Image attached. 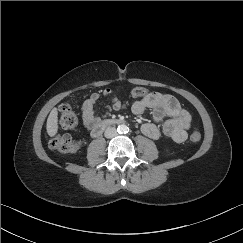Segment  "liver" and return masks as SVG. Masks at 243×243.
Wrapping results in <instances>:
<instances>
[{
  "mask_svg": "<svg viewBox=\"0 0 243 243\" xmlns=\"http://www.w3.org/2000/svg\"><path fill=\"white\" fill-rule=\"evenodd\" d=\"M58 111L57 108H53L48 116L46 130L50 137H53L58 132Z\"/></svg>",
  "mask_w": 243,
  "mask_h": 243,
  "instance_id": "obj_1",
  "label": "liver"
}]
</instances>
